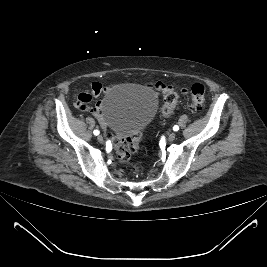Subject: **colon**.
Listing matches in <instances>:
<instances>
[{"label":"colon","mask_w":267,"mask_h":267,"mask_svg":"<svg viewBox=\"0 0 267 267\" xmlns=\"http://www.w3.org/2000/svg\"><path fill=\"white\" fill-rule=\"evenodd\" d=\"M179 96L175 91H169L164 97L163 114L169 116L172 114L177 105ZM205 104V87L196 83L191 87V104L190 110L197 112L202 110ZM142 132L138 131L128 137L115 136L112 138L114 150L118 160L123 164H129L131 155L138 152L140 149V139ZM136 171V168H133Z\"/></svg>","instance_id":"1"}]
</instances>
